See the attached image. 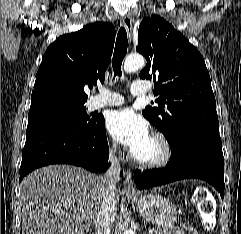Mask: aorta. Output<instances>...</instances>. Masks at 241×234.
Masks as SVG:
<instances>
[{"instance_id":"762f6f07","label":"aorta","mask_w":241,"mask_h":234,"mask_svg":"<svg viewBox=\"0 0 241 234\" xmlns=\"http://www.w3.org/2000/svg\"><path fill=\"white\" fill-rule=\"evenodd\" d=\"M145 66V59L142 55L131 54L124 62V71L127 73L135 72ZM124 234H134L131 230H126Z\"/></svg>"}]
</instances>
